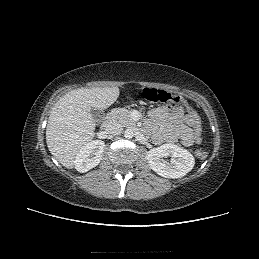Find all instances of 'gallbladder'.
<instances>
[{"instance_id":"bac80fb5","label":"gallbladder","mask_w":259,"mask_h":259,"mask_svg":"<svg viewBox=\"0 0 259 259\" xmlns=\"http://www.w3.org/2000/svg\"><path fill=\"white\" fill-rule=\"evenodd\" d=\"M91 114H92V118L96 124H100L103 122L104 117H105V113L103 110L92 108Z\"/></svg>"}]
</instances>
